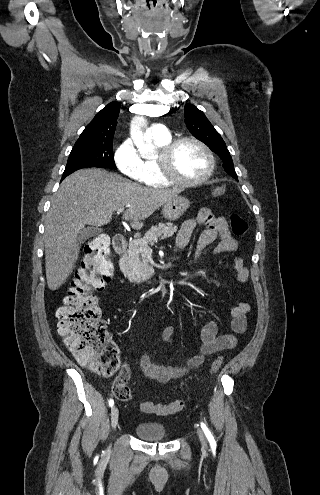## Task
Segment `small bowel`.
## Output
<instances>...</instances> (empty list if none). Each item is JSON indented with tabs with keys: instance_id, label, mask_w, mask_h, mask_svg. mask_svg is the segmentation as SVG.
<instances>
[{
	"instance_id": "c3829d8e",
	"label": "small bowel",
	"mask_w": 320,
	"mask_h": 495,
	"mask_svg": "<svg viewBox=\"0 0 320 495\" xmlns=\"http://www.w3.org/2000/svg\"><path fill=\"white\" fill-rule=\"evenodd\" d=\"M198 224H203L206 228L199 236L195 258H199L203 250L216 239H219V243L213 250L215 254L223 252L236 253L238 251L239 243L232 235L227 220L224 217L216 216L210 208L201 209L196 217L183 222L176 237V245L179 250H183L188 245L191 235ZM234 270L238 284L247 282L249 272L242 257L235 256ZM249 310L250 303L247 300L239 301L233 306L230 313V325L235 333H242L246 329V315ZM174 332L175 329L172 325L166 326L162 331L164 341L172 344ZM236 343L237 339L233 334H219L217 322L211 320L201 329L199 352L187 357L182 366L156 364L150 356L143 355L140 359V368L147 378L160 383H168L200 367L206 357L232 349ZM120 373L128 377L130 375L127 367H124Z\"/></svg>"
}]
</instances>
